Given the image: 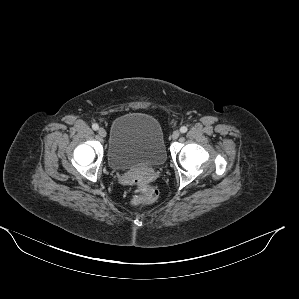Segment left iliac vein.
<instances>
[{"label":"left iliac vein","mask_w":299,"mask_h":299,"mask_svg":"<svg viewBox=\"0 0 299 299\" xmlns=\"http://www.w3.org/2000/svg\"><path fill=\"white\" fill-rule=\"evenodd\" d=\"M179 136H180V132H179L178 130H176V131H174V132L172 133V138H173L174 140L178 139Z\"/></svg>","instance_id":"4c4485c4"}]
</instances>
